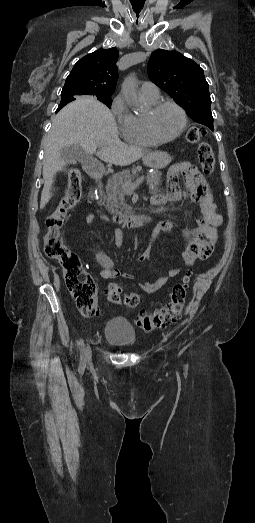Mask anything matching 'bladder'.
I'll list each match as a JSON object with an SVG mask.
<instances>
[{
  "mask_svg": "<svg viewBox=\"0 0 255 523\" xmlns=\"http://www.w3.org/2000/svg\"><path fill=\"white\" fill-rule=\"evenodd\" d=\"M105 339L117 346H133L136 332L125 319L110 318L106 324Z\"/></svg>",
  "mask_w": 255,
  "mask_h": 523,
  "instance_id": "31cf9c89",
  "label": "bladder"
}]
</instances>
